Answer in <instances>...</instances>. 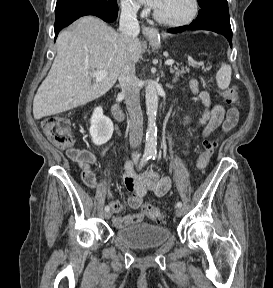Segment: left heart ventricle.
I'll list each match as a JSON object with an SVG mask.
<instances>
[{
	"mask_svg": "<svg viewBox=\"0 0 273 288\" xmlns=\"http://www.w3.org/2000/svg\"><path fill=\"white\" fill-rule=\"evenodd\" d=\"M192 9V0H160L155 8L161 17L169 20L184 19L190 15Z\"/></svg>",
	"mask_w": 273,
	"mask_h": 288,
	"instance_id": "1",
	"label": "left heart ventricle"
}]
</instances>
